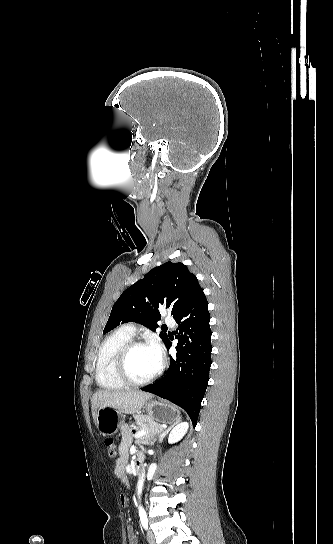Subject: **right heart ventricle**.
Instances as JSON below:
<instances>
[{"mask_svg":"<svg viewBox=\"0 0 333 544\" xmlns=\"http://www.w3.org/2000/svg\"><path fill=\"white\" fill-rule=\"evenodd\" d=\"M132 338L133 334L121 327L102 341L95 365V379L100 388L119 390L125 387L116 374L115 363L122 346Z\"/></svg>","mask_w":333,"mask_h":544,"instance_id":"e07e8e85","label":"right heart ventricle"}]
</instances>
